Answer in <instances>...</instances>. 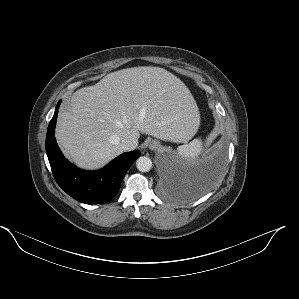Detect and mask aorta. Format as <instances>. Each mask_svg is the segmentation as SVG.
I'll list each match as a JSON object with an SVG mask.
<instances>
[{"label":"aorta","instance_id":"1","mask_svg":"<svg viewBox=\"0 0 299 299\" xmlns=\"http://www.w3.org/2000/svg\"><path fill=\"white\" fill-rule=\"evenodd\" d=\"M137 169L141 172H148L152 168V161L149 157L142 156L136 161Z\"/></svg>","mask_w":299,"mask_h":299}]
</instances>
